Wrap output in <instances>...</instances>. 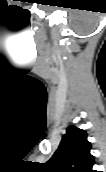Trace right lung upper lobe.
Segmentation results:
<instances>
[{
  "mask_svg": "<svg viewBox=\"0 0 106 172\" xmlns=\"http://www.w3.org/2000/svg\"><path fill=\"white\" fill-rule=\"evenodd\" d=\"M85 130L69 126L58 150L45 164L50 172H93L94 157Z\"/></svg>",
  "mask_w": 106,
  "mask_h": 172,
  "instance_id": "1",
  "label": "right lung upper lobe"
}]
</instances>
